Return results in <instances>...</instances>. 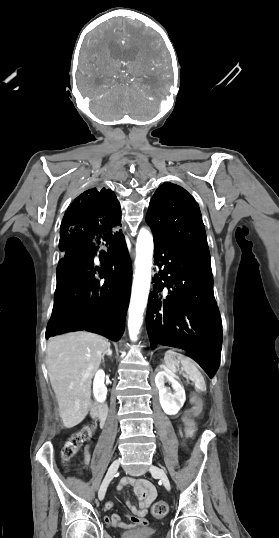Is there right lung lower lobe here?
Returning a JSON list of instances; mask_svg holds the SVG:
<instances>
[{
    "mask_svg": "<svg viewBox=\"0 0 279 538\" xmlns=\"http://www.w3.org/2000/svg\"><path fill=\"white\" fill-rule=\"evenodd\" d=\"M120 227V204L110 189L87 190L67 209L60 227L62 258L46 338L95 330L120 339L132 282ZM99 252L97 263L93 259Z\"/></svg>",
    "mask_w": 279,
    "mask_h": 538,
    "instance_id": "98d812e1",
    "label": "right lung lower lobe"
}]
</instances>
